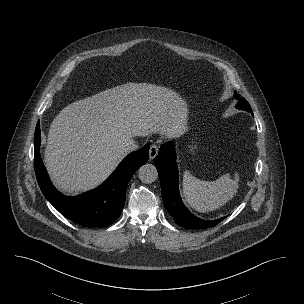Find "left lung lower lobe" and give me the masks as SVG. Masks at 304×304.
<instances>
[{"label": "left lung lower lobe", "mask_w": 304, "mask_h": 304, "mask_svg": "<svg viewBox=\"0 0 304 304\" xmlns=\"http://www.w3.org/2000/svg\"><path fill=\"white\" fill-rule=\"evenodd\" d=\"M176 154L173 143H164L154 159L157 168L164 205L174 221L188 229L209 228L222 221L225 217L206 221L194 216L183 205L178 191V169L175 162Z\"/></svg>", "instance_id": "left-lung-lower-lobe-1"}]
</instances>
